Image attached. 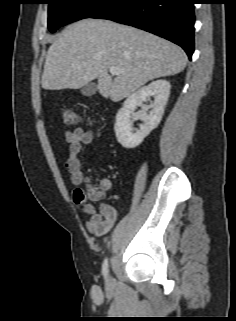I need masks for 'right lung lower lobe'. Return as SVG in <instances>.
I'll return each instance as SVG.
<instances>
[{
	"instance_id": "98d812e1",
	"label": "right lung lower lobe",
	"mask_w": 236,
	"mask_h": 321,
	"mask_svg": "<svg viewBox=\"0 0 236 321\" xmlns=\"http://www.w3.org/2000/svg\"><path fill=\"white\" fill-rule=\"evenodd\" d=\"M195 0H111L91 18L108 19L156 34L194 52Z\"/></svg>"
}]
</instances>
